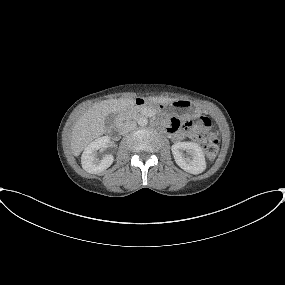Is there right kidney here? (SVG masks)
I'll list each match as a JSON object with an SVG mask.
<instances>
[{"instance_id": "right-kidney-1", "label": "right kidney", "mask_w": 285, "mask_h": 285, "mask_svg": "<svg viewBox=\"0 0 285 285\" xmlns=\"http://www.w3.org/2000/svg\"><path fill=\"white\" fill-rule=\"evenodd\" d=\"M110 143L108 136L100 137L85 147L81 156L82 168L91 174H99L111 166L114 157L111 154L104 156L101 160L97 158V151L105 149Z\"/></svg>"}]
</instances>
